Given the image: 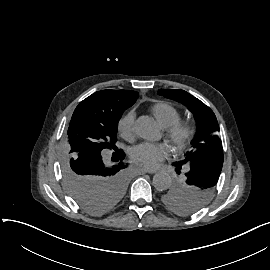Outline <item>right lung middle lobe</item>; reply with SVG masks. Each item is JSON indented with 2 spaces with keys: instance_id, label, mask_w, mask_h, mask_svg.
Returning a JSON list of instances; mask_svg holds the SVG:
<instances>
[{
  "instance_id": "dd1d6c3e",
  "label": "right lung middle lobe",
  "mask_w": 270,
  "mask_h": 270,
  "mask_svg": "<svg viewBox=\"0 0 270 270\" xmlns=\"http://www.w3.org/2000/svg\"><path fill=\"white\" fill-rule=\"evenodd\" d=\"M120 117L103 109L91 95L74 110L59 147L62 182L79 208L88 214L112 210L126 194L127 176L119 172L122 168H114L123 165L125 157L115 145ZM102 150L113 151L115 165H104Z\"/></svg>"
}]
</instances>
